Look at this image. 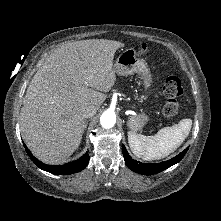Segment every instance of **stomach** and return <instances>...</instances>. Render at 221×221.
<instances>
[{
  "label": "stomach",
  "instance_id": "0dacf381",
  "mask_svg": "<svg viewBox=\"0 0 221 221\" xmlns=\"http://www.w3.org/2000/svg\"><path fill=\"white\" fill-rule=\"evenodd\" d=\"M114 70L118 75L127 76L135 73L140 74L144 79V85L146 88L150 86V71L147 62L139 57L138 52L129 48L124 50L116 59L114 64ZM143 99L147 96L143 95ZM149 121V117L143 111L137 115H133L128 119L127 126L132 131H138L142 129Z\"/></svg>",
  "mask_w": 221,
  "mask_h": 221
}]
</instances>
